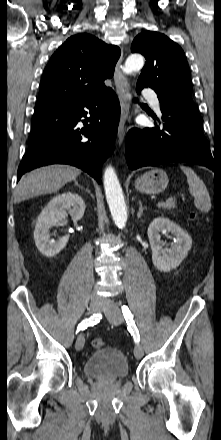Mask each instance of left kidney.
<instances>
[{
    "label": "left kidney",
    "mask_w": 221,
    "mask_h": 440,
    "mask_svg": "<svg viewBox=\"0 0 221 440\" xmlns=\"http://www.w3.org/2000/svg\"><path fill=\"white\" fill-rule=\"evenodd\" d=\"M161 233L175 236L170 248L161 240ZM148 238L152 250L153 265L160 271L175 269L185 259L192 246L190 235L173 221L156 217L148 227Z\"/></svg>",
    "instance_id": "1"
}]
</instances>
